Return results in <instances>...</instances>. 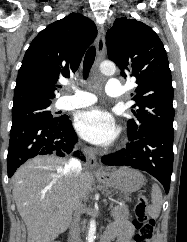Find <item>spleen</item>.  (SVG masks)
I'll list each match as a JSON object with an SVG mask.
<instances>
[{
    "label": "spleen",
    "instance_id": "3e777b00",
    "mask_svg": "<svg viewBox=\"0 0 187 242\" xmlns=\"http://www.w3.org/2000/svg\"><path fill=\"white\" fill-rule=\"evenodd\" d=\"M151 197H152V205L149 207L148 212L152 218L156 219L159 217L162 203H163L161 189L156 184H153L152 186Z\"/></svg>",
    "mask_w": 187,
    "mask_h": 242
}]
</instances>
